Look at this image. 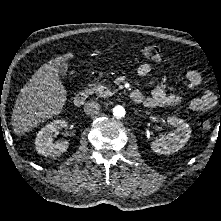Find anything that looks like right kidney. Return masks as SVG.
<instances>
[{"label":"right kidney","instance_id":"right-kidney-1","mask_svg":"<svg viewBox=\"0 0 221 221\" xmlns=\"http://www.w3.org/2000/svg\"><path fill=\"white\" fill-rule=\"evenodd\" d=\"M67 126L64 120H55L43 127L35 139L36 151L45 157H56L66 152L67 141L53 142V133Z\"/></svg>","mask_w":221,"mask_h":221}]
</instances>
